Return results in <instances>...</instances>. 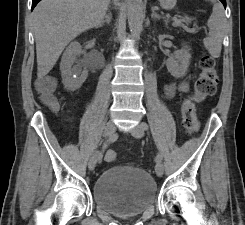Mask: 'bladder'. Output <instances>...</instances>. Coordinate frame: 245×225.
Returning <instances> with one entry per match:
<instances>
[{
  "label": "bladder",
  "mask_w": 245,
  "mask_h": 225,
  "mask_svg": "<svg viewBox=\"0 0 245 225\" xmlns=\"http://www.w3.org/2000/svg\"><path fill=\"white\" fill-rule=\"evenodd\" d=\"M95 205L115 216H132L145 212L158 199L157 185L144 169L113 166L102 170L92 185Z\"/></svg>",
  "instance_id": "obj_1"
}]
</instances>
